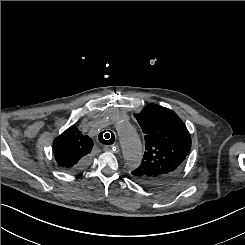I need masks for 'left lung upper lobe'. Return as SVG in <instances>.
<instances>
[{
    "instance_id": "obj_1",
    "label": "left lung upper lobe",
    "mask_w": 245,
    "mask_h": 245,
    "mask_svg": "<svg viewBox=\"0 0 245 245\" xmlns=\"http://www.w3.org/2000/svg\"><path fill=\"white\" fill-rule=\"evenodd\" d=\"M135 118L145 134L146 151L132 178L144 186L164 185L179 173L190 153V134L177 114L157 104L147 105Z\"/></svg>"
}]
</instances>
